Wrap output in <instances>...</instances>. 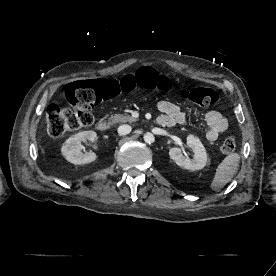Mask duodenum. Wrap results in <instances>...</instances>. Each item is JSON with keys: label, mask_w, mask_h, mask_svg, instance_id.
<instances>
[{"label": "duodenum", "mask_w": 276, "mask_h": 276, "mask_svg": "<svg viewBox=\"0 0 276 276\" xmlns=\"http://www.w3.org/2000/svg\"><path fill=\"white\" fill-rule=\"evenodd\" d=\"M158 122V120H157ZM159 124V122H158ZM110 128V124L107 122V121H100L98 124H97V129L100 131V132H107Z\"/></svg>", "instance_id": "1"}]
</instances>
